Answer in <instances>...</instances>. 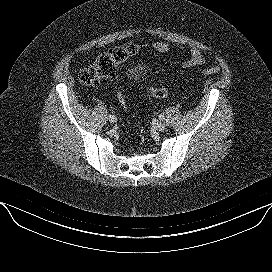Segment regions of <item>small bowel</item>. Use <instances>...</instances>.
<instances>
[{"label":"small bowel","mask_w":272,"mask_h":272,"mask_svg":"<svg viewBox=\"0 0 272 272\" xmlns=\"http://www.w3.org/2000/svg\"><path fill=\"white\" fill-rule=\"evenodd\" d=\"M152 48L162 54H168L172 51L173 46L168 42L156 41L151 44ZM178 48L183 49V45H179ZM205 63V57L200 49H191L186 59L182 61V66L185 68L203 65Z\"/></svg>","instance_id":"c3829d8e"}]
</instances>
